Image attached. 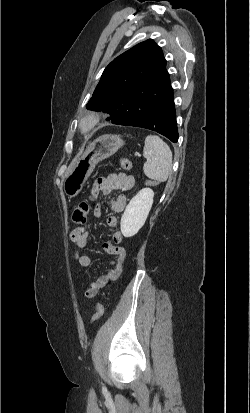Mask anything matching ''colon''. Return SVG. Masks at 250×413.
I'll use <instances>...</instances> for the list:
<instances>
[{"label": "colon", "mask_w": 250, "mask_h": 413, "mask_svg": "<svg viewBox=\"0 0 250 413\" xmlns=\"http://www.w3.org/2000/svg\"><path fill=\"white\" fill-rule=\"evenodd\" d=\"M120 164L124 170H131L133 167L132 161L128 158H122ZM161 184V181L157 178H148L146 180V185L148 187H157ZM90 212V201H83L79 203L73 210L72 221L75 224L86 223ZM104 313V307L101 303H97L95 307V313L91 318V323L98 320Z\"/></svg>", "instance_id": "1"}]
</instances>
